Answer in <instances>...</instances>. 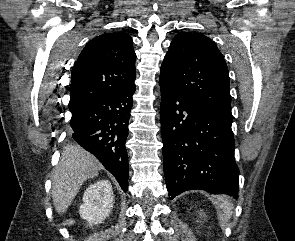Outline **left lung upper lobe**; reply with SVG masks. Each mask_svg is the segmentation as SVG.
<instances>
[{"mask_svg": "<svg viewBox=\"0 0 295 241\" xmlns=\"http://www.w3.org/2000/svg\"><path fill=\"white\" fill-rule=\"evenodd\" d=\"M160 78L187 98L232 121L227 65L208 37L176 35L164 57Z\"/></svg>", "mask_w": 295, "mask_h": 241, "instance_id": "obj_1", "label": "left lung upper lobe"}]
</instances>
